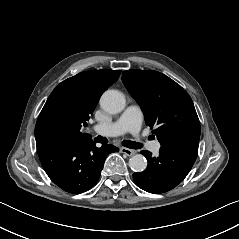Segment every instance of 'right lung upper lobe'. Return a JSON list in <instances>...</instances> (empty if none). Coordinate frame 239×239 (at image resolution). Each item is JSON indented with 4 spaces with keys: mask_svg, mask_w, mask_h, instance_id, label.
<instances>
[{
    "mask_svg": "<svg viewBox=\"0 0 239 239\" xmlns=\"http://www.w3.org/2000/svg\"><path fill=\"white\" fill-rule=\"evenodd\" d=\"M121 71L81 72L61 82L50 94L36 123V144L47 139L65 141L91 139L80 131L86 126L101 94L113 84Z\"/></svg>",
    "mask_w": 239,
    "mask_h": 239,
    "instance_id": "obj_1",
    "label": "right lung upper lobe"
}]
</instances>
